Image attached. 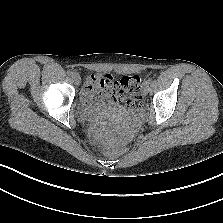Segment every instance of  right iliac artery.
<instances>
[{
  "mask_svg": "<svg viewBox=\"0 0 223 223\" xmlns=\"http://www.w3.org/2000/svg\"><path fill=\"white\" fill-rule=\"evenodd\" d=\"M67 74H68L69 76H72L74 73H73L71 70H69V71L67 72Z\"/></svg>",
  "mask_w": 223,
  "mask_h": 223,
  "instance_id": "1",
  "label": "right iliac artery"
}]
</instances>
